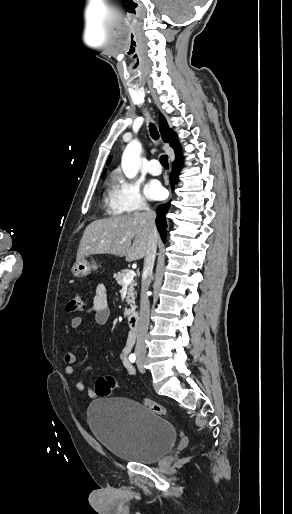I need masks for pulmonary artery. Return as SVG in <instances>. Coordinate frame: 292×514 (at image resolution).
<instances>
[{
	"instance_id": "pulmonary-artery-1",
	"label": "pulmonary artery",
	"mask_w": 292,
	"mask_h": 514,
	"mask_svg": "<svg viewBox=\"0 0 292 514\" xmlns=\"http://www.w3.org/2000/svg\"><path fill=\"white\" fill-rule=\"evenodd\" d=\"M159 158L158 157H151L149 162L147 163V170L152 174V175H158L160 172V163H159Z\"/></svg>"
}]
</instances>
